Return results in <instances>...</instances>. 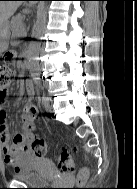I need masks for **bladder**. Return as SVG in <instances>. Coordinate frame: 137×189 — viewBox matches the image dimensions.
<instances>
[{"mask_svg":"<svg viewBox=\"0 0 137 189\" xmlns=\"http://www.w3.org/2000/svg\"><path fill=\"white\" fill-rule=\"evenodd\" d=\"M57 174L54 162L46 157L39 158L34 165L15 172L14 177L28 185H44Z\"/></svg>","mask_w":137,"mask_h":189,"instance_id":"31cf9c89","label":"bladder"}]
</instances>
